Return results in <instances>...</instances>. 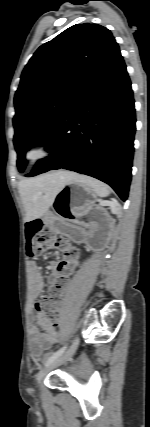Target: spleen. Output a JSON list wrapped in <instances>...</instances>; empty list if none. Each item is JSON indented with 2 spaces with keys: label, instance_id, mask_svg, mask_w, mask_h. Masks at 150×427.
<instances>
[{
  "label": "spleen",
  "instance_id": "spleen-1",
  "mask_svg": "<svg viewBox=\"0 0 150 427\" xmlns=\"http://www.w3.org/2000/svg\"><path fill=\"white\" fill-rule=\"evenodd\" d=\"M75 180L92 188L99 197H107L110 194L109 187L99 180L82 175H76Z\"/></svg>",
  "mask_w": 150,
  "mask_h": 427
}]
</instances>
